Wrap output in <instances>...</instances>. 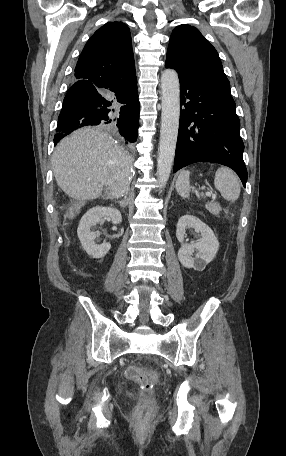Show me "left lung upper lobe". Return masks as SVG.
I'll return each mask as SVG.
<instances>
[{"label":"left lung upper lobe","instance_id":"5c2ea615","mask_svg":"<svg viewBox=\"0 0 286 456\" xmlns=\"http://www.w3.org/2000/svg\"><path fill=\"white\" fill-rule=\"evenodd\" d=\"M165 66L231 97L230 83L216 49L193 26L182 24L173 30Z\"/></svg>","mask_w":286,"mask_h":456}]
</instances>
